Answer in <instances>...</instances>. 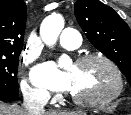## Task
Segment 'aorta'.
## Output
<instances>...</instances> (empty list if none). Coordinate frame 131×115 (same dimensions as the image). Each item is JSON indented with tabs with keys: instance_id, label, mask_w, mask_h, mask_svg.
<instances>
[{
	"instance_id": "obj_1",
	"label": "aorta",
	"mask_w": 131,
	"mask_h": 115,
	"mask_svg": "<svg viewBox=\"0 0 131 115\" xmlns=\"http://www.w3.org/2000/svg\"><path fill=\"white\" fill-rule=\"evenodd\" d=\"M64 27V19L60 14L53 13L46 17L40 27V35L42 40L48 46H53L57 38ZM63 62L60 59L59 65H62Z\"/></svg>"
}]
</instances>
